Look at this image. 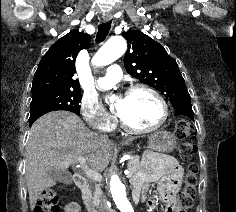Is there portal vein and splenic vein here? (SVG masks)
Masks as SVG:
<instances>
[{
  "label": "portal vein and splenic vein",
  "mask_w": 236,
  "mask_h": 212,
  "mask_svg": "<svg viewBox=\"0 0 236 212\" xmlns=\"http://www.w3.org/2000/svg\"><path fill=\"white\" fill-rule=\"evenodd\" d=\"M85 158L83 157H79L78 161L79 163L82 165V170L84 171V173L86 174V176L92 180H101L102 176L100 173H98L95 170L89 169L86 165H85ZM125 174L130 177L131 173L129 170H125Z\"/></svg>",
  "instance_id": "portal-vein-and-splenic-vein-1"
}]
</instances>
